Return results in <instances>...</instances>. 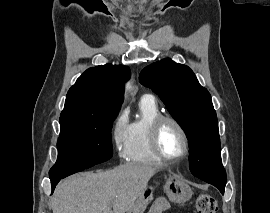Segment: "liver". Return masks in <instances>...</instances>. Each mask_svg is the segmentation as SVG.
I'll return each mask as SVG.
<instances>
[{"instance_id":"liver-1","label":"liver","mask_w":270,"mask_h":213,"mask_svg":"<svg viewBox=\"0 0 270 213\" xmlns=\"http://www.w3.org/2000/svg\"><path fill=\"white\" fill-rule=\"evenodd\" d=\"M159 170L160 166L123 164L72 176L56 187L53 213H126Z\"/></svg>"}]
</instances>
